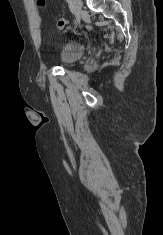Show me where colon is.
<instances>
[{
    "label": "colon",
    "mask_w": 163,
    "mask_h": 235,
    "mask_svg": "<svg viewBox=\"0 0 163 235\" xmlns=\"http://www.w3.org/2000/svg\"><path fill=\"white\" fill-rule=\"evenodd\" d=\"M38 5L43 7L45 5V0H38ZM67 24V21L65 18H58L56 21V27L58 29H63Z\"/></svg>",
    "instance_id": "obj_1"
}]
</instances>
